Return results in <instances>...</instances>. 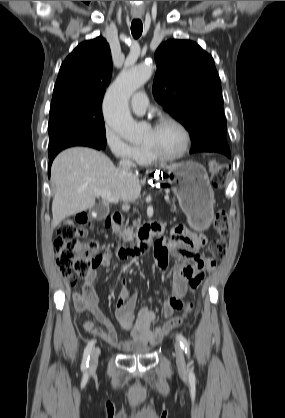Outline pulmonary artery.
Returning a JSON list of instances; mask_svg holds the SVG:
<instances>
[{
  "mask_svg": "<svg viewBox=\"0 0 285 418\" xmlns=\"http://www.w3.org/2000/svg\"><path fill=\"white\" fill-rule=\"evenodd\" d=\"M131 109L134 113L142 114L148 107V100L144 93L135 94L130 101Z\"/></svg>",
  "mask_w": 285,
  "mask_h": 418,
  "instance_id": "e3ab8cb5",
  "label": "pulmonary artery"
}]
</instances>
